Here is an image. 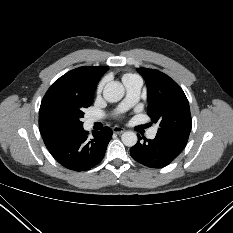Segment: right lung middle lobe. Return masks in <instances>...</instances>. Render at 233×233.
<instances>
[{"instance_id":"1","label":"right lung middle lobe","mask_w":233,"mask_h":233,"mask_svg":"<svg viewBox=\"0 0 233 233\" xmlns=\"http://www.w3.org/2000/svg\"><path fill=\"white\" fill-rule=\"evenodd\" d=\"M94 98L78 99L71 104L63 106L56 113L57 120L71 128L78 129L83 127L81 118L84 116V108L89 107L93 103Z\"/></svg>"}]
</instances>
